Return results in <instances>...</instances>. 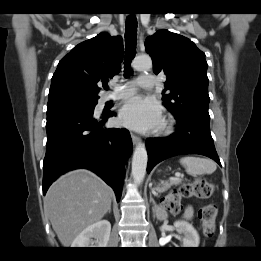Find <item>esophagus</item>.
I'll return each instance as SVG.
<instances>
[{
  "mask_svg": "<svg viewBox=\"0 0 261 261\" xmlns=\"http://www.w3.org/2000/svg\"><path fill=\"white\" fill-rule=\"evenodd\" d=\"M131 138H132V142H133L134 145L140 143V141H141L140 137H138L134 134H131Z\"/></svg>",
  "mask_w": 261,
  "mask_h": 261,
  "instance_id": "34e87169",
  "label": "esophagus"
}]
</instances>
